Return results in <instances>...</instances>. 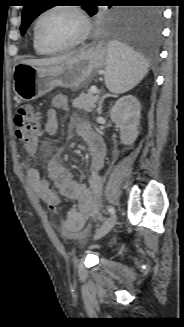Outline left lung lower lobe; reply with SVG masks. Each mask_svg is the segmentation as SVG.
Masks as SVG:
<instances>
[{"label": "left lung lower lobe", "mask_w": 184, "mask_h": 327, "mask_svg": "<svg viewBox=\"0 0 184 327\" xmlns=\"http://www.w3.org/2000/svg\"><path fill=\"white\" fill-rule=\"evenodd\" d=\"M162 12L156 7L136 10L133 18L118 31L121 44L150 56L158 53Z\"/></svg>", "instance_id": "obj_1"}]
</instances>
